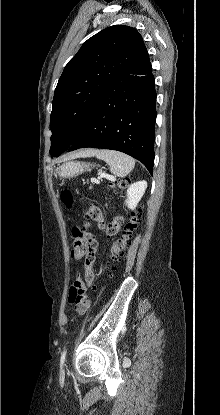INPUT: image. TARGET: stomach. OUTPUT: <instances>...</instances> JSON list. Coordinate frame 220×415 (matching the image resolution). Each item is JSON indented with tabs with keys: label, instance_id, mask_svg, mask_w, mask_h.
I'll return each instance as SVG.
<instances>
[{
	"label": "stomach",
	"instance_id": "0dacf381",
	"mask_svg": "<svg viewBox=\"0 0 220 415\" xmlns=\"http://www.w3.org/2000/svg\"><path fill=\"white\" fill-rule=\"evenodd\" d=\"M90 169V164L79 161H69L60 166L59 175L61 177H73Z\"/></svg>",
	"mask_w": 220,
	"mask_h": 415
}]
</instances>
